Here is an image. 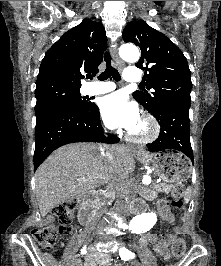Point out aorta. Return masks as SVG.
Instances as JSON below:
<instances>
[{"mask_svg":"<svg viewBox=\"0 0 221 266\" xmlns=\"http://www.w3.org/2000/svg\"><path fill=\"white\" fill-rule=\"evenodd\" d=\"M120 57L131 63H135L140 58V52L138 48L132 44H124L119 49ZM151 181V178L147 175L143 177V183H148ZM156 220V216L150 213H142L135 216L130 224L129 231L132 233H141L143 231L149 230Z\"/></svg>","mask_w":221,"mask_h":266,"instance_id":"762f6f07","label":"aorta"}]
</instances>
